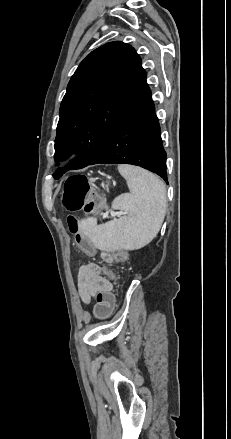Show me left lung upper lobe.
<instances>
[{
    "mask_svg": "<svg viewBox=\"0 0 231 439\" xmlns=\"http://www.w3.org/2000/svg\"><path fill=\"white\" fill-rule=\"evenodd\" d=\"M145 81L141 58L123 42L106 43L80 63L60 106L54 145L57 163L77 156L56 170L55 179L89 164Z\"/></svg>",
    "mask_w": 231,
    "mask_h": 439,
    "instance_id": "5c2ea615",
    "label": "left lung upper lobe"
}]
</instances>
